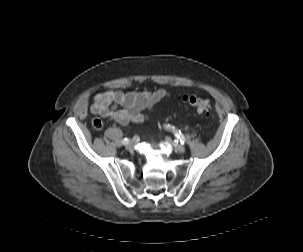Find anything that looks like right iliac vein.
Instances as JSON below:
<instances>
[{"mask_svg": "<svg viewBox=\"0 0 303 252\" xmlns=\"http://www.w3.org/2000/svg\"><path fill=\"white\" fill-rule=\"evenodd\" d=\"M134 147V142L130 141L125 145L126 150L131 151Z\"/></svg>", "mask_w": 303, "mask_h": 252, "instance_id": "right-iliac-vein-1", "label": "right iliac vein"}]
</instances>
